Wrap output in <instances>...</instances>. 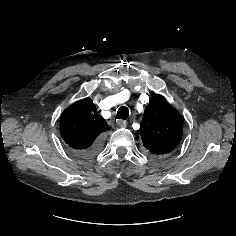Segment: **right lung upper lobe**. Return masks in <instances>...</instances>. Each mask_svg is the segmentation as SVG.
<instances>
[{
  "label": "right lung upper lobe",
  "mask_w": 236,
  "mask_h": 236,
  "mask_svg": "<svg viewBox=\"0 0 236 236\" xmlns=\"http://www.w3.org/2000/svg\"><path fill=\"white\" fill-rule=\"evenodd\" d=\"M109 130L89 97L72 104L60 117L61 136L76 151L90 148L103 132Z\"/></svg>",
  "instance_id": "cb5924a9"
}]
</instances>
